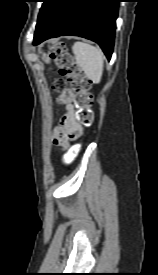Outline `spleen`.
I'll use <instances>...</instances> for the list:
<instances>
[{
	"instance_id": "obj_1",
	"label": "spleen",
	"mask_w": 158,
	"mask_h": 275,
	"mask_svg": "<svg viewBox=\"0 0 158 275\" xmlns=\"http://www.w3.org/2000/svg\"><path fill=\"white\" fill-rule=\"evenodd\" d=\"M72 51L76 63L82 68L86 77L98 84L103 74L104 55L100 48L84 42H75Z\"/></svg>"
}]
</instances>
